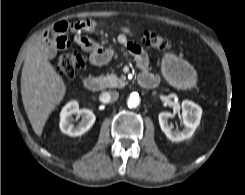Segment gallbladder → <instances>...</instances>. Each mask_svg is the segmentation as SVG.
Masks as SVG:
<instances>
[{"mask_svg": "<svg viewBox=\"0 0 245 195\" xmlns=\"http://www.w3.org/2000/svg\"><path fill=\"white\" fill-rule=\"evenodd\" d=\"M47 49H48V57L52 58L56 55L57 50L54 46H48Z\"/></svg>", "mask_w": 245, "mask_h": 195, "instance_id": "1", "label": "gallbladder"}]
</instances>
